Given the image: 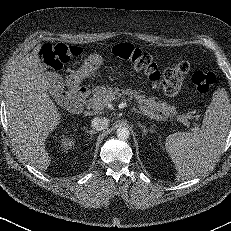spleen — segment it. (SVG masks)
Listing matches in <instances>:
<instances>
[{"mask_svg":"<svg viewBox=\"0 0 231 231\" xmlns=\"http://www.w3.org/2000/svg\"><path fill=\"white\" fill-rule=\"evenodd\" d=\"M231 120V104L223 89L213 94L202 126L197 131L176 132L165 148L177 170V179H192L207 171L221 155Z\"/></svg>","mask_w":231,"mask_h":231,"instance_id":"1","label":"spleen"}]
</instances>
